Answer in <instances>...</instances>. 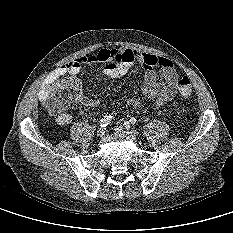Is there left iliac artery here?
I'll use <instances>...</instances> for the list:
<instances>
[{"label": "left iliac artery", "instance_id": "obj_1", "mask_svg": "<svg viewBox=\"0 0 233 233\" xmlns=\"http://www.w3.org/2000/svg\"><path fill=\"white\" fill-rule=\"evenodd\" d=\"M128 122L130 124L134 125L136 123V119L135 118H131Z\"/></svg>", "mask_w": 233, "mask_h": 233}]
</instances>
